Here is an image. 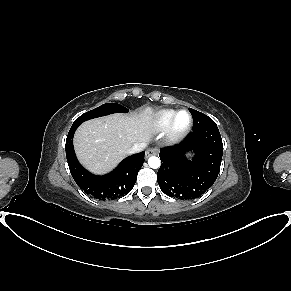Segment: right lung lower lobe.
<instances>
[{"label":"right lung lower lobe","instance_id":"obj_1","mask_svg":"<svg viewBox=\"0 0 291 291\" xmlns=\"http://www.w3.org/2000/svg\"><path fill=\"white\" fill-rule=\"evenodd\" d=\"M78 126H72L66 139V157L76 184L87 194L99 200H114L128 194L144 163L145 152L125 158L114 171L104 176H96L78 162L73 147V136Z\"/></svg>","mask_w":291,"mask_h":291}]
</instances>
